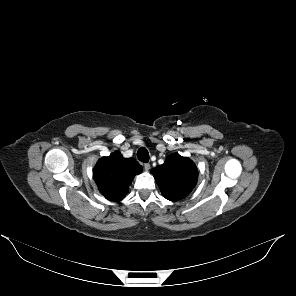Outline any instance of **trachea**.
<instances>
[{
	"label": "trachea",
	"mask_w": 296,
	"mask_h": 296,
	"mask_svg": "<svg viewBox=\"0 0 296 296\" xmlns=\"http://www.w3.org/2000/svg\"><path fill=\"white\" fill-rule=\"evenodd\" d=\"M137 157L141 162H148L149 161V153L146 148L141 147L137 151Z\"/></svg>",
	"instance_id": "trachea-1"
}]
</instances>
